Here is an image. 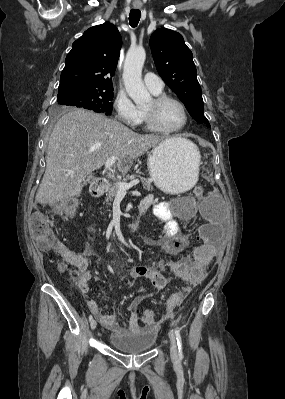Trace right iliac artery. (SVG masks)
I'll use <instances>...</instances> for the list:
<instances>
[{"instance_id":"obj_1","label":"right iliac artery","mask_w":285,"mask_h":399,"mask_svg":"<svg viewBox=\"0 0 285 399\" xmlns=\"http://www.w3.org/2000/svg\"><path fill=\"white\" fill-rule=\"evenodd\" d=\"M93 320L92 315L89 316V321L91 322Z\"/></svg>"}]
</instances>
